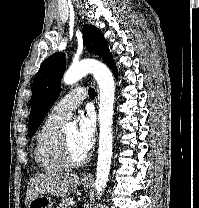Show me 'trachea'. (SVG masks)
I'll list each match as a JSON object with an SVG mask.
<instances>
[{
  "label": "trachea",
  "mask_w": 199,
  "mask_h": 208,
  "mask_svg": "<svg viewBox=\"0 0 199 208\" xmlns=\"http://www.w3.org/2000/svg\"><path fill=\"white\" fill-rule=\"evenodd\" d=\"M88 94H89L90 98H92V99L95 98L96 94H95V90L93 88H91V87L89 88Z\"/></svg>",
  "instance_id": "trachea-1"
}]
</instances>
